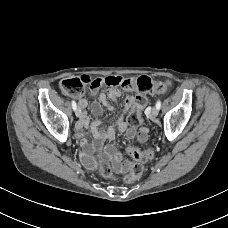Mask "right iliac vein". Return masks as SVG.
<instances>
[{"label": "right iliac vein", "mask_w": 228, "mask_h": 228, "mask_svg": "<svg viewBox=\"0 0 228 228\" xmlns=\"http://www.w3.org/2000/svg\"><path fill=\"white\" fill-rule=\"evenodd\" d=\"M75 114H76L77 117H80V115H81V109L79 107L76 108Z\"/></svg>", "instance_id": "obj_1"}]
</instances>
